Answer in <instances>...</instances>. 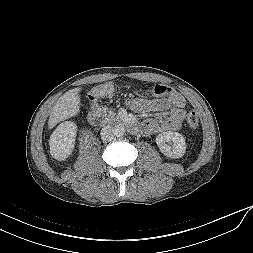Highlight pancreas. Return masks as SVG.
Instances as JSON below:
<instances>
[{
  "mask_svg": "<svg viewBox=\"0 0 253 253\" xmlns=\"http://www.w3.org/2000/svg\"><path fill=\"white\" fill-rule=\"evenodd\" d=\"M103 116H104V119H105V122H106V123H113V122L117 121L118 118H119V117L116 116V114H115L113 111H111V110L105 111Z\"/></svg>",
  "mask_w": 253,
  "mask_h": 253,
  "instance_id": "cf45deb5",
  "label": "pancreas"
}]
</instances>
